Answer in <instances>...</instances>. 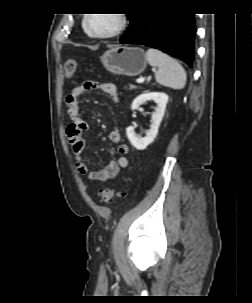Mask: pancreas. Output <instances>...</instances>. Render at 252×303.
<instances>
[{
    "instance_id": "cf45deb5",
    "label": "pancreas",
    "mask_w": 252,
    "mask_h": 303,
    "mask_svg": "<svg viewBox=\"0 0 252 303\" xmlns=\"http://www.w3.org/2000/svg\"><path fill=\"white\" fill-rule=\"evenodd\" d=\"M129 88H130L131 90H134V89H136V86L130 84V85H129Z\"/></svg>"
}]
</instances>
